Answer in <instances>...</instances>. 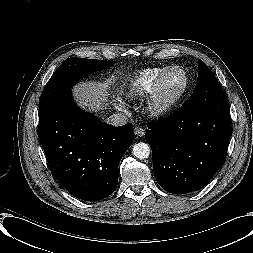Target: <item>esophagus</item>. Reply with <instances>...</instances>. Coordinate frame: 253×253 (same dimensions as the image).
<instances>
[{"mask_svg": "<svg viewBox=\"0 0 253 253\" xmlns=\"http://www.w3.org/2000/svg\"><path fill=\"white\" fill-rule=\"evenodd\" d=\"M134 134L139 137H143L145 135V129L142 127L136 126L134 128Z\"/></svg>", "mask_w": 253, "mask_h": 253, "instance_id": "obj_1", "label": "esophagus"}]
</instances>
